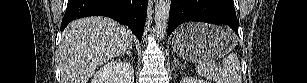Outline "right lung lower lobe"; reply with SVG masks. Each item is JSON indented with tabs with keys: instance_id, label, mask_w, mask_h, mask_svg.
Here are the masks:
<instances>
[{
	"instance_id": "obj_1",
	"label": "right lung lower lobe",
	"mask_w": 307,
	"mask_h": 83,
	"mask_svg": "<svg viewBox=\"0 0 307 83\" xmlns=\"http://www.w3.org/2000/svg\"><path fill=\"white\" fill-rule=\"evenodd\" d=\"M147 5L148 0H68L61 31L76 18L101 15L127 25L141 42Z\"/></svg>"
}]
</instances>
